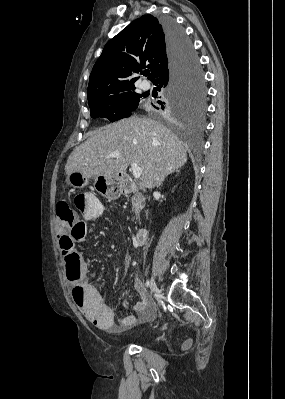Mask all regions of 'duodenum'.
<instances>
[{"instance_id":"obj_1","label":"duodenum","mask_w":285,"mask_h":399,"mask_svg":"<svg viewBox=\"0 0 285 399\" xmlns=\"http://www.w3.org/2000/svg\"><path fill=\"white\" fill-rule=\"evenodd\" d=\"M126 192H131L133 186L130 182H125L124 184ZM149 234V229L147 227H141L136 231L135 240L137 243H143L146 241Z\"/></svg>"}]
</instances>
